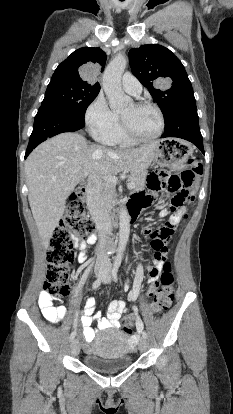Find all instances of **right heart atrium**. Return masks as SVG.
<instances>
[{
    "label": "right heart atrium",
    "mask_w": 233,
    "mask_h": 414,
    "mask_svg": "<svg viewBox=\"0 0 233 414\" xmlns=\"http://www.w3.org/2000/svg\"><path fill=\"white\" fill-rule=\"evenodd\" d=\"M84 119L90 134L99 142L109 144L117 115L110 109L102 93H99L87 106Z\"/></svg>",
    "instance_id": "obj_1"
}]
</instances>
